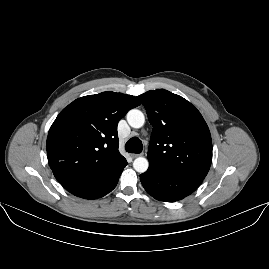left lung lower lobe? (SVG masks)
Masks as SVG:
<instances>
[{
	"label": "left lung lower lobe",
	"instance_id": "1",
	"mask_svg": "<svg viewBox=\"0 0 269 269\" xmlns=\"http://www.w3.org/2000/svg\"><path fill=\"white\" fill-rule=\"evenodd\" d=\"M145 190L155 199L165 202L179 201L193 193L203 179L149 166L140 175Z\"/></svg>",
	"mask_w": 269,
	"mask_h": 269
}]
</instances>
